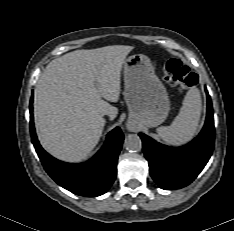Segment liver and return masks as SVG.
Returning a JSON list of instances; mask_svg holds the SVG:
<instances>
[{
	"instance_id": "liver-1",
	"label": "liver",
	"mask_w": 234,
	"mask_h": 231,
	"mask_svg": "<svg viewBox=\"0 0 234 231\" xmlns=\"http://www.w3.org/2000/svg\"><path fill=\"white\" fill-rule=\"evenodd\" d=\"M132 46L75 50L52 60L34 92V119L42 146L54 157L79 162L99 142L104 115L118 109L121 69ZM107 100H103V99Z\"/></svg>"
}]
</instances>
